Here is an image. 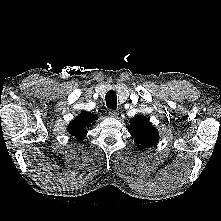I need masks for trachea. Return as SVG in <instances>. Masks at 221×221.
<instances>
[{
	"label": "trachea",
	"mask_w": 221,
	"mask_h": 221,
	"mask_svg": "<svg viewBox=\"0 0 221 221\" xmlns=\"http://www.w3.org/2000/svg\"><path fill=\"white\" fill-rule=\"evenodd\" d=\"M106 106L109 109L115 110L117 108V96L115 91H108L105 97Z\"/></svg>",
	"instance_id": "1"
}]
</instances>
